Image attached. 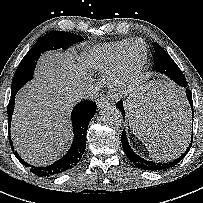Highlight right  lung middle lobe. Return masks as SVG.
Returning a JSON list of instances; mask_svg holds the SVG:
<instances>
[{"label":"right lung middle lobe","instance_id":"obj_1","mask_svg":"<svg viewBox=\"0 0 203 203\" xmlns=\"http://www.w3.org/2000/svg\"><path fill=\"white\" fill-rule=\"evenodd\" d=\"M80 41H83L80 36L62 31H52L42 36L20 62L12 80L11 93H17L26 82L32 79L37 60L41 53L46 50L60 48L66 50L71 45Z\"/></svg>","mask_w":203,"mask_h":203}]
</instances>
